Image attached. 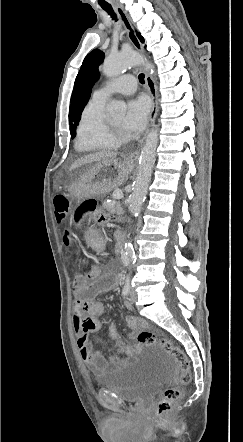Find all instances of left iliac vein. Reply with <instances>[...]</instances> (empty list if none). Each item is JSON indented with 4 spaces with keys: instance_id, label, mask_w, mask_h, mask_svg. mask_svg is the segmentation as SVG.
Instances as JSON below:
<instances>
[{
    "instance_id": "left-iliac-vein-1",
    "label": "left iliac vein",
    "mask_w": 243,
    "mask_h": 442,
    "mask_svg": "<svg viewBox=\"0 0 243 442\" xmlns=\"http://www.w3.org/2000/svg\"><path fill=\"white\" fill-rule=\"evenodd\" d=\"M130 300L132 301V302H135L136 301V292H135V290L134 289H131V291H130Z\"/></svg>"
}]
</instances>
